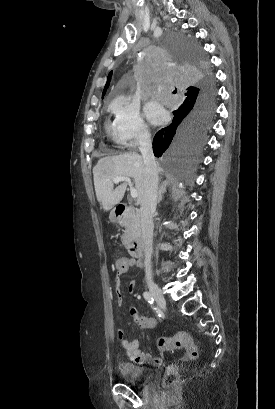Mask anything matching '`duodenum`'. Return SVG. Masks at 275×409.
Here are the masks:
<instances>
[{"instance_id": "410a0bca", "label": "duodenum", "mask_w": 275, "mask_h": 409, "mask_svg": "<svg viewBox=\"0 0 275 409\" xmlns=\"http://www.w3.org/2000/svg\"><path fill=\"white\" fill-rule=\"evenodd\" d=\"M127 211V206L124 204H119L116 206L114 215L117 219H120ZM129 252L135 258H141L144 251L143 240L140 235H136L129 243Z\"/></svg>"}]
</instances>
